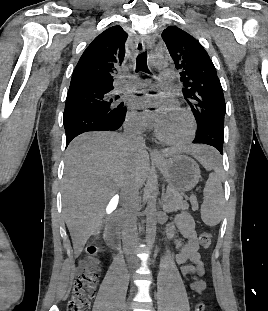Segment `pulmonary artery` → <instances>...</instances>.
Returning <instances> with one entry per match:
<instances>
[{
    "mask_svg": "<svg viewBox=\"0 0 268 311\" xmlns=\"http://www.w3.org/2000/svg\"><path fill=\"white\" fill-rule=\"evenodd\" d=\"M174 78V72L170 69H165L160 73L159 80L162 82H168L173 80ZM149 85L148 80H142V79H134V82L124 81L120 85L121 90H127L131 88H143Z\"/></svg>",
    "mask_w": 268,
    "mask_h": 311,
    "instance_id": "e3ab8cb5",
    "label": "pulmonary artery"
}]
</instances>
